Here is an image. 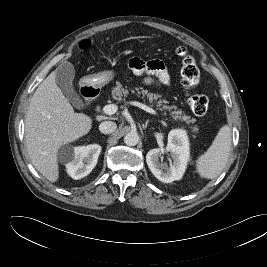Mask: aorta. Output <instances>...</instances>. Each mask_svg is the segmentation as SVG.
<instances>
[{"label": "aorta", "instance_id": "obj_1", "mask_svg": "<svg viewBox=\"0 0 267 267\" xmlns=\"http://www.w3.org/2000/svg\"><path fill=\"white\" fill-rule=\"evenodd\" d=\"M139 141V135L136 132H129L124 137V143L127 146H135Z\"/></svg>", "mask_w": 267, "mask_h": 267}]
</instances>
